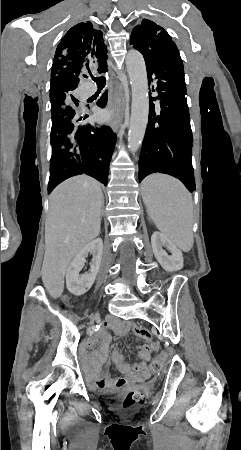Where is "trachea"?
Here are the masks:
<instances>
[{
    "instance_id": "3493384b",
    "label": "trachea",
    "mask_w": 241,
    "mask_h": 450,
    "mask_svg": "<svg viewBox=\"0 0 241 450\" xmlns=\"http://www.w3.org/2000/svg\"><path fill=\"white\" fill-rule=\"evenodd\" d=\"M92 78L97 83V85H104L106 83L105 77H98V78L92 77Z\"/></svg>"
}]
</instances>
